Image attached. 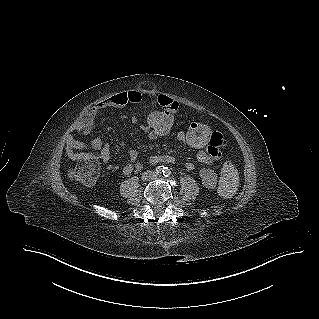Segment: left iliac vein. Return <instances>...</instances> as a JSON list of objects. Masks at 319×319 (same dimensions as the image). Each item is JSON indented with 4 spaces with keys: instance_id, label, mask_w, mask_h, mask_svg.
Here are the masks:
<instances>
[{
    "instance_id": "4c4485c4",
    "label": "left iliac vein",
    "mask_w": 319,
    "mask_h": 319,
    "mask_svg": "<svg viewBox=\"0 0 319 319\" xmlns=\"http://www.w3.org/2000/svg\"><path fill=\"white\" fill-rule=\"evenodd\" d=\"M151 175H152L153 178H157L158 177V174L156 172H152Z\"/></svg>"
}]
</instances>
